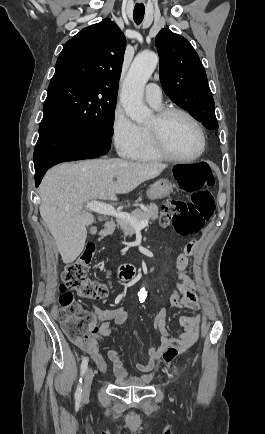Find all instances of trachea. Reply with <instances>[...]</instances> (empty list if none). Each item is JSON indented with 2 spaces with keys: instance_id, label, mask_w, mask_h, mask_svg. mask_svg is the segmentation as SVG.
I'll list each match as a JSON object with an SVG mask.
<instances>
[{
  "instance_id": "obj_1",
  "label": "trachea",
  "mask_w": 265,
  "mask_h": 434,
  "mask_svg": "<svg viewBox=\"0 0 265 434\" xmlns=\"http://www.w3.org/2000/svg\"><path fill=\"white\" fill-rule=\"evenodd\" d=\"M145 14V7L142 3L136 4L133 11V18L135 23L139 25L142 22Z\"/></svg>"
}]
</instances>
